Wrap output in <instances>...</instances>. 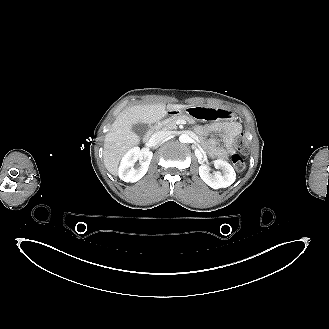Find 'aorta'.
<instances>
[{
  "label": "aorta",
  "mask_w": 329,
  "mask_h": 329,
  "mask_svg": "<svg viewBox=\"0 0 329 329\" xmlns=\"http://www.w3.org/2000/svg\"><path fill=\"white\" fill-rule=\"evenodd\" d=\"M190 136L188 135V134H181L180 136H179V141L181 142V143H189L190 142Z\"/></svg>",
  "instance_id": "obj_1"
}]
</instances>
